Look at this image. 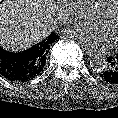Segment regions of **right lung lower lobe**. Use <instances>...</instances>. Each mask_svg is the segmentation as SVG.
<instances>
[{"mask_svg": "<svg viewBox=\"0 0 118 118\" xmlns=\"http://www.w3.org/2000/svg\"><path fill=\"white\" fill-rule=\"evenodd\" d=\"M36 64L35 53L30 49L11 53L0 47V74L10 81L31 80L41 72Z\"/></svg>", "mask_w": 118, "mask_h": 118, "instance_id": "obj_1", "label": "right lung lower lobe"}]
</instances>
